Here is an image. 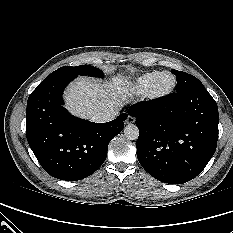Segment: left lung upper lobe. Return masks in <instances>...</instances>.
<instances>
[{"label": "left lung upper lobe", "instance_id": "obj_1", "mask_svg": "<svg viewBox=\"0 0 233 233\" xmlns=\"http://www.w3.org/2000/svg\"><path fill=\"white\" fill-rule=\"evenodd\" d=\"M171 72H173L177 77V92H183L193 87L203 86V84L196 77L190 74L174 69H172Z\"/></svg>", "mask_w": 233, "mask_h": 233}]
</instances>
